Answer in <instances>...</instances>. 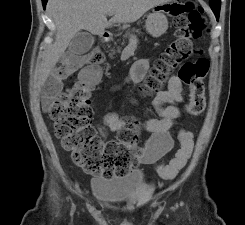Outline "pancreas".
I'll return each instance as SVG.
<instances>
[{
  "mask_svg": "<svg viewBox=\"0 0 245 225\" xmlns=\"http://www.w3.org/2000/svg\"><path fill=\"white\" fill-rule=\"evenodd\" d=\"M129 35V33H126L124 35V38H126L127 36ZM122 46L125 45V41L123 40L122 43H121ZM117 51L120 52L121 51V48L120 47H117ZM112 53H115V50H112Z\"/></svg>",
  "mask_w": 245,
  "mask_h": 225,
  "instance_id": "obj_1",
  "label": "pancreas"
}]
</instances>
